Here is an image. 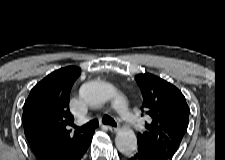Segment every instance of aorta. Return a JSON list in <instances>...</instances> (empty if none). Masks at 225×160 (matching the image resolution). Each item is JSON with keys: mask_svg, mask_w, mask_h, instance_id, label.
Masks as SVG:
<instances>
[{"mask_svg": "<svg viewBox=\"0 0 225 160\" xmlns=\"http://www.w3.org/2000/svg\"><path fill=\"white\" fill-rule=\"evenodd\" d=\"M115 92L113 85L102 81L88 82L80 89L83 99L92 106L112 100ZM115 144L121 153L133 154L137 150V138L134 131L129 128L120 129L116 134Z\"/></svg>", "mask_w": 225, "mask_h": 160, "instance_id": "762f6f07", "label": "aorta"}]
</instances>
